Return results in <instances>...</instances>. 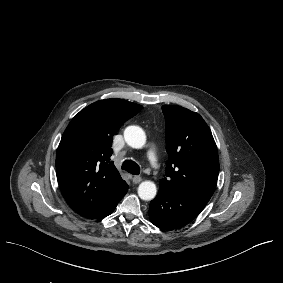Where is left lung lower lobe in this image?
Here are the masks:
<instances>
[{
  "instance_id": "obj_1",
  "label": "left lung lower lobe",
  "mask_w": 283,
  "mask_h": 283,
  "mask_svg": "<svg viewBox=\"0 0 283 283\" xmlns=\"http://www.w3.org/2000/svg\"><path fill=\"white\" fill-rule=\"evenodd\" d=\"M205 205L189 196L159 189L156 198L150 202L149 219L161 229H179L195 219Z\"/></svg>"
}]
</instances>
